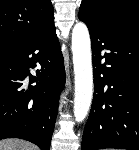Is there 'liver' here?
<instances>
[{"label": "liver", "mask_w": 139, "mask_h": 150, "mask_svg": "<svg viewBox=\"0 0 139 150\" xmlns=\"http://www.w3.org/2000/svg\"><path fill=\"white\" fill-rule=\"evenodd\" d=\"M0 150H36V147L23 140L9 139L0 141Z\"/></svg>", "instance_id": "obj_1"}]
</instances>
